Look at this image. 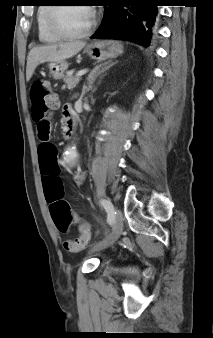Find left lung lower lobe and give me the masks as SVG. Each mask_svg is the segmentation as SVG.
<instances>
[{
  "label": "left lung lower lobe",
  "instance_id": "0a47b994",
  "mask_svg": "<svg viewBox=\"0 0 213 338\" xmlns=\"http://www.w3.org/2000/svg\"><path fill=\"white\" fill-rule=\"evenodd\" d=\"M158 0H108L102 24L91 38L128 40L145 47L157 31Z\"/></svg>",
  "mask_w": 213,
  "mask_h": 338
}]
</instances>
